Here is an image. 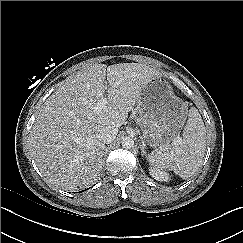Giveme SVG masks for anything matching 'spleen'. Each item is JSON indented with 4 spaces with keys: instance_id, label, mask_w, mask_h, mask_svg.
Returning <instances> with one entry per match:
<instances>
[{
    "instance_id": "spleen-1",
    "label": "spleen",
    "mask_w": 243,
    "mask_h": 243,
    "mask_svg": "<svg viewBox=\"0 0 243 243\" xmlns=\"http://www.w3.org/2000/svg\"><path fill=\"white\" fill-rule=\"evenodd\" d=\"M205 150L204 122L198 110L192 107L182 137L177 136L172 144H164L151 152L148 161L157 169H167L187 179L200 168Z\"/></svg>"
}]
</instances>
